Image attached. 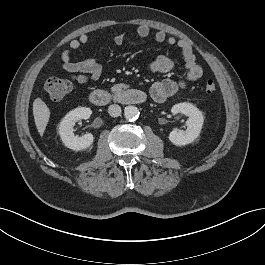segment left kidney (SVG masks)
<instances>
[{"label": "left kidney", "instance_id": "left-kidney-1", "mask_svg": "<svg viewBox=\"0 0 265 265\" xmlns=\"http://www.w3.org/2000/svg\"><path fill=\"white\" fill-rule=\"evenodd\" d=\"M173 114L182 113L188 117L187 129L185 131L173 130L169 134V140L177 146H184L192 143L200 135L204 117L202 112L191 103L183 102L175 104L171 108Z\"/></svg>", "mask_w": 265, "mask_h": 265}]
</instances>
